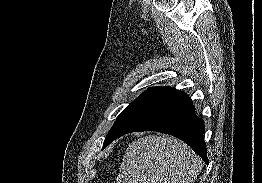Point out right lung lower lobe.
Segmentation results:
<instances>
[{"instance_id": "98d812e1", "label": "right lung lower lobe", "mask_w": 262, "mask_h": 183, "mask_svg": "<svg viewBox=\"0 0 262 183\" xmlns=\"http://www.w3.org/2000/svg\"><path fill=\"white\" fill-rule=\"evenodd\" d=\"M139 131H158L177 137L208 163L204 121L196 116L195 107L184 92L170 87L159 90L119 137Z\"/></svg>"}]
</instances>
